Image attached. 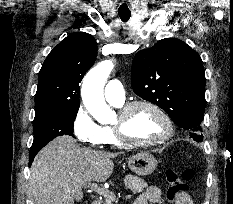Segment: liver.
I'll return each instance as SVG.
<instances>
[{
	"mask_svg": "<svg viewBox=\"0 0 233 204\" xmlns=\"http://www.w3.org/2000/svg\"><path fill=\"white\" fill-rule=\"evenodd\" d=\"M117 155L81 148L67 135L55 138L36 155L30 169L35 204H75L83 198V186L110 177L111 159Z\"/></svg>",
	"mask_w": 233,
	"mask_h": 204,
	"instance_id": "1",
	"label": "liver"
}]
</instances>
